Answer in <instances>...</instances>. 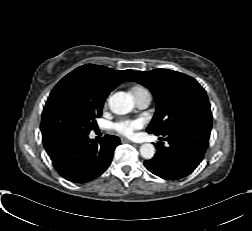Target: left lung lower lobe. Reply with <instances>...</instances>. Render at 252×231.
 Listing matches in <instances>:
<instances>
[{
  "instance_id": "1",
  "label": "left lung lower lobe",
  "mask_w": 252,
  "mask_h": 231,
  "mask_svg": "<svg viewBox=\"0 0 252 231\" xmlns=\"http://www.w3.org/2000/svg\"><path fill=\"white\" fill-rule=\"evenodd\" d=\"M211 126L190 123L169 130L161 140L168 141L156 145L155 156L144 162L145 167L153 174L167 180L181 179L191 172L202 161L209 144Z\"/></svg>"
}]
</instances>
